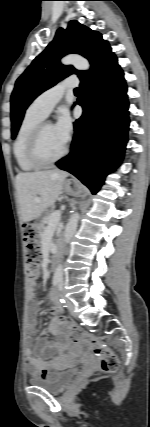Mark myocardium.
Segmentation results:
<instances>
[{
    "mask_svg": "<svg viewBox=\"0 0 150 427\" xmlns=\"http://www.w3.org/2000/svg\"><path fill=\"white\" fill-rule=\"evenodd\" d=\"M50 125V123L47 122H41L33 131L29 143H28V150L27 155L29 161L34 164L35 166L39 168L48 167L51 166L61 159H63L67 153H68V146L66 145L63 151L55 158L53 159H43L40 155V141L43 134V131L46 126Z\"/></svg>",
    "mask_w": 150,
    "mask_h": 427,
    "instance_id": "f54148a6",
    "label": "myocardium"
}]
</instances>
